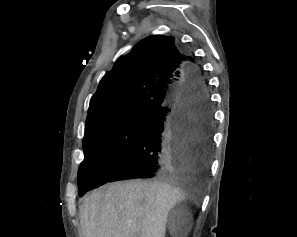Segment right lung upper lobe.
Instances as JSON below:
<instances>
[{
  "instance_id": "right-lung-upper-lobe-1",
  "label": "right lung upper lobe",
  "mask_w": 297,
  "mask_h": 237,
  "mask_svg": "<svg viewBox=\"0 0 297 237\" xmlns=\"http://www.w3.org/2000/svg\"><path fill=\"white\" fill-rule=\"evenodd\" d=\"M191 56L174 38L154 35L120 57L101 79L90 101L85 129L103 119L138 111L154 112L187 81Z\"/></svg>"
}]
</instances>
